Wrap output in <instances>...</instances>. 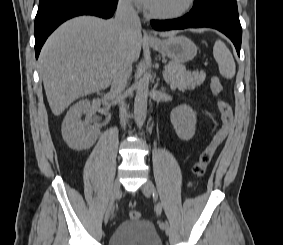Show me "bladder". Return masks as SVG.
I'll return each instance as SVG.
<instances>
[{
	"instance_id": "1",
	"label": "bladder",
	"mask_w": 283,
	"mask_h": 245,
	"mask_svg": "<svg viewBox=\"0 0 283 245\" xmlns=\"http://www.w3.org/2000/svg\"><path fill=\"white\" fill-rule=\"evenodd\" d=\"M108 245H163L153 222L146 219L127 220L111 233Z\"/></svg>"
}]
</instances>
